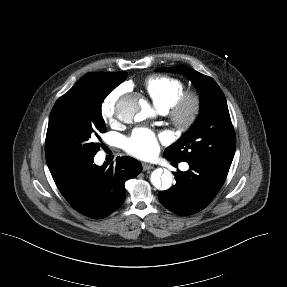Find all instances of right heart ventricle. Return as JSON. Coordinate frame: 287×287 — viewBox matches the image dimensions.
<instances>
[{
  "mask_svg": "<svg viewBox=\"0 0 287 287\" xmlns=\"http://www.w3.org/2000/svg\"><path fill=\"white\" fill-rule=\"evenodd\" d=\"M144 87L161 111H167L184 92L183 81L168 75L149 76L144 81Z\"/></svg>",
  "mask_w": 287,
  "mask_h": 287,
  "instance_id": "e07e8e85",
  "label": "right heart ventricle"
}]
</instances>
